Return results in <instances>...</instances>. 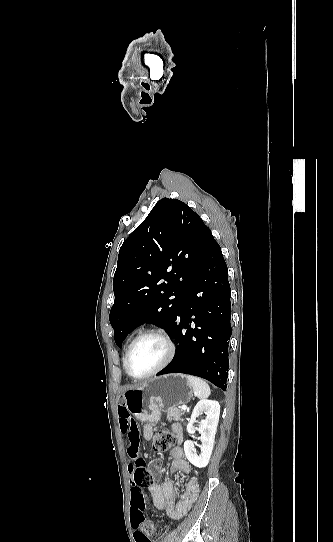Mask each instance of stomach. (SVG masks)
<instances>
[{"instance_id": "stomach-1", "label": "stomach", "mask_w": 333, "mask_h": 542, "mask_svg": "<svg viewBox=\"0 0 333 542\" xmlns=\"http://www.w3.org/2000/svg\"><path fill=\"white\" fill-rule=\"evenodd\" d=\"M193 396L191 384L184 374H166L151 378L141 388L127 390L120 400L129 414L140 422L158 424L161 412L172 410L180 404H188Z\"/></svg>"}]
</instances>
